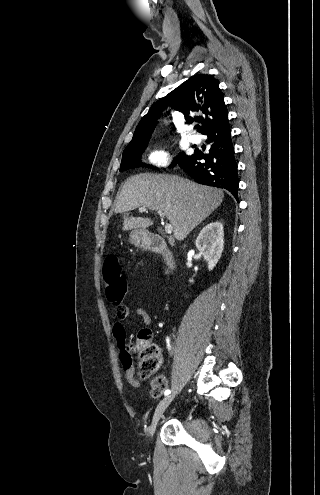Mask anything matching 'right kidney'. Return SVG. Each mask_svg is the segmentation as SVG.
Here are the masks:
<instances>
[{
  "label": "right kidney",
  "instance_id": "ca27d5eb",
  "mask_svg": "<svg viewBox=\"0 0 320 495\" xmlns=\"http://www.w3.org/2000/svg\"><path fill=\"white\" fill-rule=\"evenodd\" d=\"M195 245L212 270L219 261L224 248V231L220 222L206 225L199 233ZM193 282V280H190Z\"/></svg>",
  "mask_w": 320,
  "mask_h": 495
}]
</instances>
